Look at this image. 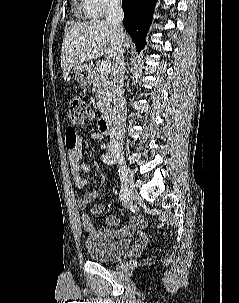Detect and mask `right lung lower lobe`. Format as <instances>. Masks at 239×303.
<instances>
[{
    "instance_id": "right-lung-lower-lobe-1",
    "label": "right lung lower lobe",
    "mask_w": 239,
    "mask_h": 303,
    "mask_svg": "<svg viewBox=\"0 0 239 303\" xmlns=\"http://www.w3.org/2000/svg\"><path fill=\"white\" fill-rule=\"evenodd\" d=\"M157 0H122L123 25L140 52L146 43L145 37L152 22Z\"/></svg>"
}]
</instances>
